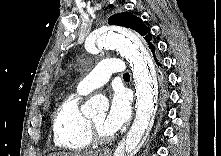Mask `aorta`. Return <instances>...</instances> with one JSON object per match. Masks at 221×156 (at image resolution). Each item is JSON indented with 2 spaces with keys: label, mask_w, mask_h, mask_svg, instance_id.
I'll list each match as a JSON object with an SVG mask.
<instances>
[{
  "label": "aorta",
  "mask_w": 221,
  "mask_h": 156,
  "mask_svg": "<svg viewBox=\"0 0 221 156\" xmlns=\"http://www.w3.org/2000/svg\"><path fill=\"white\" fill-rule=\"evenodd\" d=\"M99 48H112L120 52L131 65L136 87V115L124 144L114 156H132L142 145L153 125L158 86L156 71L148 51L131 31L109 27L96 39ZM108 102L101 97H91L82 107V113L91 117L99 110L105 111Z\"/></svg>",
  "instance_id": "762f6f07"
}]
</instances>
